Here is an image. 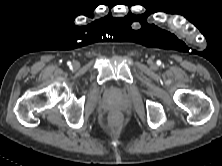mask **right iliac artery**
<instances>
[{"label": "right iliac artery", "instance_id": "obj_1", "mask_svg": "<svg viewBox=\"0 0 222 166\" xmlns=\"http://www.w3.org/2000/svg\"><path fill=\"white\" fill-rule=\"evenodd\" d=\"M67 64H68L69 66H71V62H68Z\"/></svg>", "mask_w": 222, "mask_h": 166}]
</instances>
